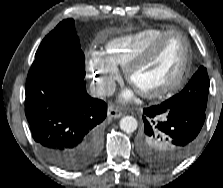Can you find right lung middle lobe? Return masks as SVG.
Segmentation results:
<instances>
[{"instance_id": "1", "label": "right lung middle lobe", "mask_w": 223, "mask_h": 188, "mask_svg": "<svg viewBox=\"0 0 223 188\" xmlns=\"http://www.w3.org/2000/svg\"><path fill=\"white\" fill-rule=\"evenodd\" d=\"M52 62L65 65L77 77H85V57L73 19L63 20L43 39L32 65Z\"/></svg>"}]
</instances>
